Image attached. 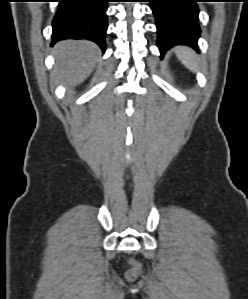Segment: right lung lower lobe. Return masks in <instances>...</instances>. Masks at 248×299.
Instances as JSON below:
<instances>
[{"instance_id":"right-lung-lower-lobe-1","label":"right lung lower lobe","mask_w":248,"mask_h":299,"mask_svg":"<svg viewBox=\"0 0 248 299\" xmlns=\"http://www.w3.org/2000/svg\"><path fill=\"white\" fill-rule=\"evenodd\" d=\"M109 0H59L52 27V44L64 39H87L105 51Z\"/></svg>"}]
</instances>
